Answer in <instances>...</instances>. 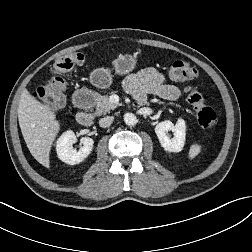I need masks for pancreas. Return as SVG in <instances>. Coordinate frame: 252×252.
Here are the masks:
<instances>
[{
  "label": "pancreas",
  "mask_w": 252,
  "mask_h": 252,
  "mask_svg": "<svg viewBox=\"0 0 252 252\" xmlns=\"http://www.w3.org/2000/svg\"><path fill=\"white\" fill-rule=\"evenodd\" d=\"M96 110L94 112L95 116H101L114 110L118 105L111 103L108 95L96 94Z\"/></svg>",
  "instance_id": "pancreas-1"
}]
</instances>
